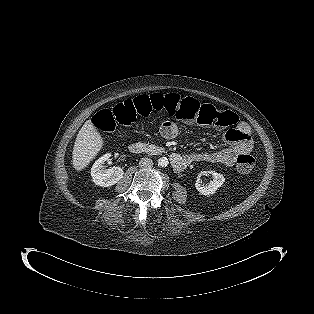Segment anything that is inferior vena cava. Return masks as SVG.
Instances as JSON below:
<instances>
[{
  "label": "inferior vena cava",
  "mask_w": 314,
  "mask_h": 314,
  "mask_svg": "<svg viewBox=\"0 0 314 314\" xmlns=\"http://www.w3.org/2000/svg\"><path fill=\"white\" fill-rule=\"evenodd\" d=\"M153 166V161L150 158L144 157L139 161V167L143 169H149Z\"/></svg>",
  "instance_id": "602c4592"
}]
</instances>
